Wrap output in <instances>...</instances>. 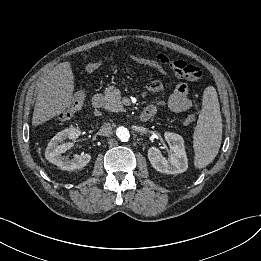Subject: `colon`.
Returning <instances> with one entry per match:
<instances>
[{
    "mask_svg": "<svg viewBox=\"0 0 261 261\" xmlns=\"http://www.w3.org/2000/svg\"><path fill=\"white\" fill-rule=\"evenodd\" d=\"M166 63L169 66V68L173 71V73L176 75V77L180 79L196 82L199 81L202 76V71L198 67L189 64L185 61L174 59V60L167 61ZM146 65L152 68L160 67V64L153 61H148ZM85 97H86L85 90H76L73 94L71 103L67 108V110L63 113V116L64 117L69 115L73 116L75 113H77L81 109L82 105L84 104ZM187 121L192 122L193 116H189L187 118Z\"/></svg>",
    "mask_w": 261,
    "mask_h": 261,
    "instance_id": "5ec220e1",
    "label": "colon"
}]
</instances>
